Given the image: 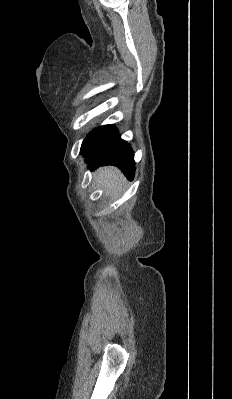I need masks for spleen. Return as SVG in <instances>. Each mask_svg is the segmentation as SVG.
Listing matches in <instances>:
<instances>
[{
  "label": "spleen",
  "instance_id": "spleen-1",
  "mask_svg": "<svg viewBox=\"0 0 232 399\" xmlns=\"http://www.w3.org/2000/svg\"><path fill=\"white\" fill-rule=\"evenodd\" d=\"M93 180L97 184V188L104 190L105 196L112 200H116L125 192L126 180L117 168H111V166L110 168H99L95 172Z\"/></svg>",
  "mask_w": 232,
  "mask_h": 399
}]
</instances>
